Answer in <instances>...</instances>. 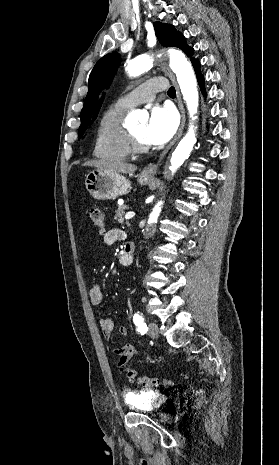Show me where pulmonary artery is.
Segmentation results:
<instances>
[{"label":"pulmonary artery","mask_w":279,"mask_h":465,"mask_svg":"<svg viewBox=\"0 0 279 465\" xmlns=\"http://www.w3.org/2000/svg\"><path fill=\"white\" fill-rule=\"evenodd\" d=\"M165 81L162 78H151L132 90L131 92L122 96L117 103L131 108L139 104L152 102L156 93L165 89Z\"/></svg>","instance_id":"e3ab8cb5"}]
</instances>
